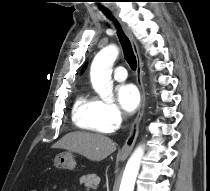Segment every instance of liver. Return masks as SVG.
<instances>
[{
  "label": "liver",
  "mask_w": 210,
  "mask_h": 191,
  "mask_svg": "<svg viewBox=\"0 0 210 191\" xmlns=\"http://www.w3.org/2000/svg\"><path fill=\"white\" fill-rule=\"evenodd\" d=\"M52 147L76 152L92 161H101L116 150L110 138L88 132L68 133Z\"/></svg>",
  "instance_id": "liver-1"
}]
</instances>
